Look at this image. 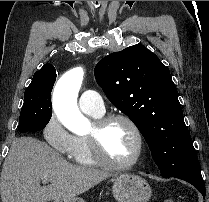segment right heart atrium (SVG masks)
<instances>
[{
    "instance_id": "1",
    "label": "right heart atrium",
    "mask_w": 209,
    "mask_h": 202,
    "mask_svg": "<svg viewBox=\"0 0 209 202\" xmlns=\"http://www.w3.org/2000/svg\"><path fill=\"white\" fill-rule=\"evenodd\" d=\"M42 133L45 141L57 152L63 155L69 154L74 136L64 128L54 113L48 117Z\"/></svg>"
}]
</instances>
